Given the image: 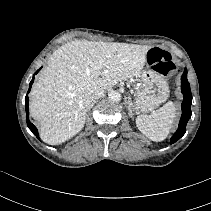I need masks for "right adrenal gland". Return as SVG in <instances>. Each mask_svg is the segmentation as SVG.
<instances>
[{
    "instance_id": "2a0ac1e0",
    "label": "right adrenal gland",
    "mask_w": 211,
    "mask_h": 211,
    "mask_svg": "<svg viewBox=\"0 0 211 211\" xmlns=\"http://www.w3.org/2000/svg\"><path fill=\"white\" fill-rule=\"evenodd\" d=\"M95 103H96V100H94V101L92 102V104L90 105L89 111H90V109L94 106Z\"/></svg>"
}]
</instances>
